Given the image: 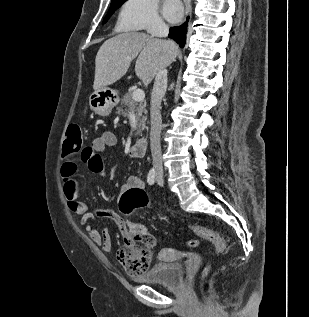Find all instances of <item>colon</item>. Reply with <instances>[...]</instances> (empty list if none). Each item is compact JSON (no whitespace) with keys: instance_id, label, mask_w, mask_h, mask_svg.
I'll list each match as a JSON object with an SVG mask.
<instances>
[{"instance_id":"obj_1","label":"colon","mask_w":309,"mask_h":317,"mask_svg":"<svg viewBox=\"0 0 309 317\" xmlns=\"http://www.w3.org/2000/svg\"><path fill=\"white\" fill-rule=\"evenodd\" d=\"M86 147H82V131L79 125H69L64 143V157L66 160L78 154H84ZM149 198L143 189H130L122 194L120 210L129 215L133 211L148 206ZM196 236L211 242L215 247V253L219 254L226 248L224 237L217 231L197 225L188 226ZM154 237L142 225H133L124 234V244L117 251V257L125 271L133 276L144 273L152 260ZM199 241L191 239L187 242L190 247L198 246ZM209 268H205L203 277L207 275Z\"/></svg>"}]
</instances>
